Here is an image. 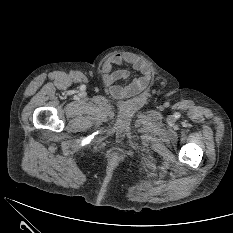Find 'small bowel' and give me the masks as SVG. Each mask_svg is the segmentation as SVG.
<instances>
[{
    "mask_svg": "<svg viewBox=\"0 0 233 233\" xmlns=\"http://www.w3.org/2000/svg\"><path fill=\"white\" fill-rule=\"evenodd\" d=\"M127 64L140 73L131 83L121 86L117 82L129 77L126 69H115L114 66ZM102 80L115 98H129L138 95L149 84L151 72L146 63L132 54H113L102 65Z\"/></svg>",
    "mask_w": 233,
    "mask_h": 233,
    "instance_id": "c3829d8e",
    "label": "small bowel"
}]
</instances>
